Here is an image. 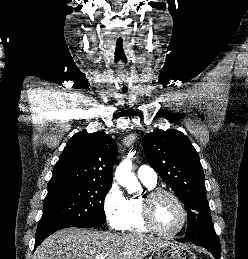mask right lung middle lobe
I'll use <instances>...</instances> for the list:
<instances>
[{"mask_svg":"<svg viewBox=\"0 0 248 259\" xmlns=\"http://www.w3.org/2000/svg\"><path fill=\"white\" fill-rule=\"evenodd\" d=\"M111 184L48 185L38 228L54 224L93 227L106 222L104 198Z\"/></svg>","mask_w":248,"mask_h":259,"instance_id":"right-lung-middle-lobe-1","label":"right lung middle lobe"}]
</instances>
